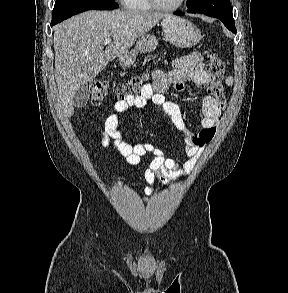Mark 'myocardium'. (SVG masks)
I'll return each mask as SVG.
<instances>
[{
  "mask_svg": "<svg viewBox=\"0 0 288 293\" xmlns=\"http://www.w3.org/2000/svg\"><path fill=\"white\" fill-rule=\"evenodd\" d=\"M150 5L157 10L171 12L178 10L184 3L185 0H178V2L171 6H165L160 4L157 0H148Z\"/></svg>",
  "mask_w": 288,
  "mask_h": 293,
  "instance_id": "myocardium-1",
  "label": "myocardium"
}]
</instances>
